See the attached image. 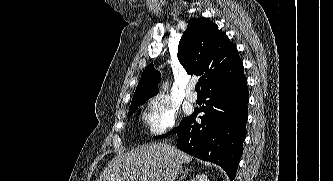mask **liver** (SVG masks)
<instances>
[{
  "mask_svg": "<svg viewBox=\"0 0 333 181\" xmlns=\"http://www.w3.org/2000/svg\"><path fill=\"white\" fill-rule=\"evenodd\" d=\"M192 159L166 143L147 144L116 156L97 181H175Z\"/></svg>",
  "mask_w": 333,
  "mask_h": 181,
  "instance_id": "obj_1",
  "label": "liver"
}]
</instances>
